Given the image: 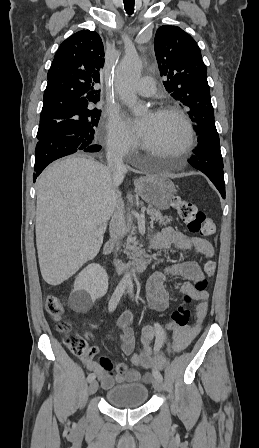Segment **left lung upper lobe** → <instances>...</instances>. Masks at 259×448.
<instances>
[{
  "mask_svg": "<svg viewBox=\"0 0 259 448\" xmlns=\"http://www.w3.org/2000/svg\"><path fill=\"white\" fill-rule=\"evenodd\" d=\"M154 49L166 90L190 109L198 136L217 132L207 68L196 41L181 28L164 25L156 32Z\"/></svg>",
  "mask_w": 259,
  "mask_h": 448,
  "instance_id": "1",
  "label": "left lung upper lobe"
}]
</instances>
